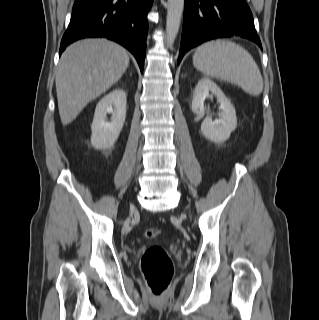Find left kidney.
Segmentation results:
<instances>
[{
  "instance_id": "obj_1",
  "label": "left kidney",
  "mask_w": 319,
  "mask_h": 320,
  "mask_svg": "<svg viewBox=\"0 0 319 320\" xmlns=\"http://www.w3.org/2000/svg\"><path fill=\"white\" fill-rule=\"evenodd\" d=\"M209 92L216 96L220 103L219 119L212 121L211 115L206 112L204 101L209 96ZM192 111L198 116L206 117L201 125L202 134L214 142H224L229 139L230 134L237 127L235 108L227 99L223 91L209 78H201L194 91L192 100Z\"/></svg>"
}]
</instances>
